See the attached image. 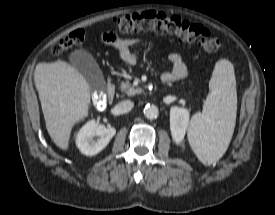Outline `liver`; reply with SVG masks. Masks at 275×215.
<instances>
[{
    "instance_id": "6515ba94",
    "label": "liver",
    "mask_w": 275,
    "mask_h": 215,
    "mask_svg": "<svg viewBox=\"0 0 275 215\" xmlns=\"http://www.w3.org/2000/svg\"><path fill=\"white\" fill-rule=\"evenodd\" d=\"M34 81L48 134L56 146L67 150L72 127L88 115L89 85L62 60L37 64Z\"/></svg>"
}]
</instances>
